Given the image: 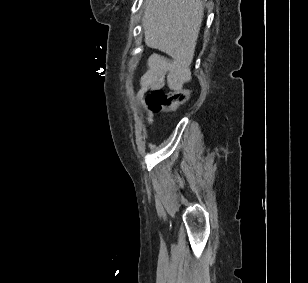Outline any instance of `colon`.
Returning <instances> with one entry per match:
<instances>
[{
  "label": "colon",
  "instance_id": "obj_1",
  "mask_svg": "<svg viewBox=\"0 0 308 283\" xmlns=\"http://www.w3.org/2000/svg\"><path fill=\"white\" fill-rule=\"evenodd\" d=\"M190 97V91L180 89L170 92H162L159 90L150 91L145 101L148 108L155 112H170L175 110L179 105L185 103Z\"/></svg>",
  "mask_w": 308,
  "mask_h": 283
}]
</instances>
